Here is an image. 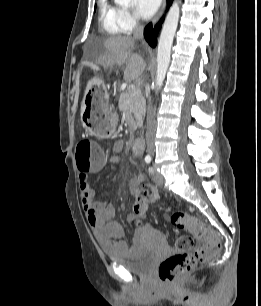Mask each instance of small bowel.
I'll return each mask as SVG.
<instances>
[{
    "label": "small bowel",
    "instance_id": "c3829d8e",
    "mask_svg": "<svg viewBox=\"0 0 261 306\" xmlns=\"http://www.w3.org/2000/svg\"><path fill=\"white\" fill-rule=\"evenodd\" d=\"M124 150V143L117 141L113 145L112 155L109 160H103L101 164L79 174V185L82 204L87 216L88 223L93 228L96 239L105 252L126 254L129 250L128 244L124 241V230L114 220L115 209L112 204L96 199V194L90 183V173L102 170L109 162L117 165L120 154ZM143 183V176L136 175L129 184V189L137 197L138 188ZM137 215L131 213L127 216L128 222H134Z\"/></svg>",
    "mask_w": 261,
    "mask_h": 306
}]
</instances>
